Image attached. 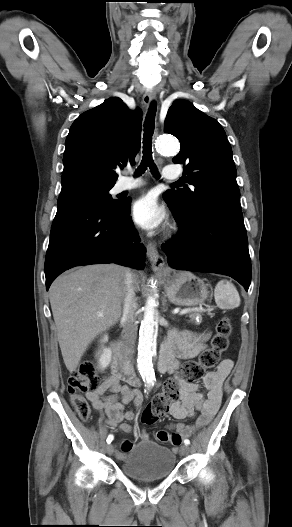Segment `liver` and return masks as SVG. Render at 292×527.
Here are the masks:
<instances>
[{
	"mask_svg": "<svg viewBox=\"0 0 292 527\" xmlns=\"http://www.w3.org/2000/svg\"><path fill=\"white\" fill-rule=\"evenodd\" d=\"M126 269L115 264L77 268L49 289L51 309L66 368L74 372L93 339L121 317ZM139 289V276L133 274ZM102 314L103 317H99Z\"/></svg>",
	"mask_w": 292,
	"mask_h": 527,
	"instance_id": "6515ba94",
	"label": "liver"
}]
</instances>
